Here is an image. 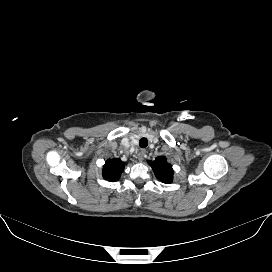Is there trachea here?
<instances>
[{
  "label": "trachea",
  "mask_w": 272,
  "mask_h": 272,
  "mask_svg": "<svg viewBox=\"0 0 272 272\" xmlns=\"http://www.w3.org/2000/svg\"><path fill=\"white\" fill-rule=\"evenodd\" d=\"M147 145H148V140L146 138H141L139 140V146L141 148H145V147H147Z\"/></svg>",
  "instance_id": "3493384b"
}]
</instances>
